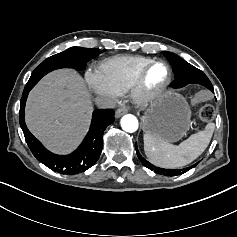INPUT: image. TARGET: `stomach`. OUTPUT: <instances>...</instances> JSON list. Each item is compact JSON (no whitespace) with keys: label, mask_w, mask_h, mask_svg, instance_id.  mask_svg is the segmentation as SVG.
<instances>
[{"label":"stomach","mask_w":237,"mask_h":237,"mask_svg":"<svg viewBox=\"0 0 237 237\" xmlns=\"http://www.w3.org/2000/svg\"><path fill=\"white\" fill-rule=\"evenodd\" d=\"M190 118L191 109L186 99L168 90L148 102L141 127L145 133L172 143L185 136Z\"/></svg>","instance_id":"obj_1"}]
</instances>
